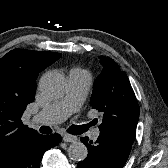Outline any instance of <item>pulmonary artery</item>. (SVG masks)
Returning a JSON list of instances; mask_svg holds the SVG:
<instances>
[{"label":"pulmonary artery","mask_w":168,"mask_h":168,"mask_svg":"<svg viewBox=\"0 0 168 168\" xmlns=\"http://www.w3.org/2000/svg\"><path fill=\"white\" fill-rule=\"evenodd\" d=\"M92 83L90 73L81 69H73L68 75V87L65 95L43 108L35 117L36 123L53 125L64 121L76 112L84 103ZM100 135L98 128L91 132L92 139Z\"/></svg>","instance_id":"e3ab8cb5"}]
</instances>
